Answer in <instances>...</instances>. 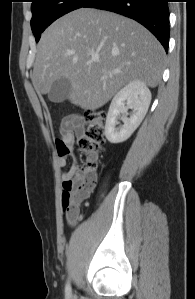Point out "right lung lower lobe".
Listing matches in <instances>:
<instances>
[{"mask_svg": "<svg viewBox=\"0 0 195 299\" xmlns=\"http://www.w3.org/2000/svg\"><path fill=\"white\" fill-rule=\"evenodd\" d=\"M83 7L112 11L136 20L168 50V0H89Z\"/></svg>", "mask_w": 195, "mask_h": 299, "instance_id": "obj_1", "label": "right lung lower lobe"}]
</instances>
